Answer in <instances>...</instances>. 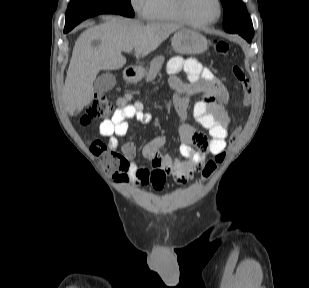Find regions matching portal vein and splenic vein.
Here are the masks:
<instances>
[{
  "instance_id": "18ae733b",
  "label": "portal vein and splenic vein",
  "mask_w": 309,
  "mask_h": 288,
  "mask_svg": "<svg viewBox=\"0 0 309 288\" xmlns=\"http://www.w3.org/2000/svg\"><path fill=\"white\" fill-rule=\"evenodd\" d=\"M132 50H133V47H131V46H127V47L123 48V51H125V52H131Z\"/></svg>"
}]
</instances>
